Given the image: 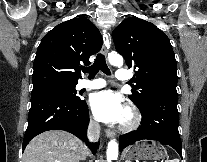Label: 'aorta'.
<instances>
[{"mask_svg":"<svg viewBox=\"0 0 207 162\" xmlns=\"http://www.w3.org/2000/svg\"><path fill=\"white\" fill-rule=\"evenodd\" d=\"M109 62L113 66L121 67L123 65V58L121 55L115 54L110 55ZM118 143L115 139L110 140L107 146V162H112L114 160H117L118 158Z\"/></svg>","mask_w":207,"mask_h":162,"instance_id":"aorta-1","label":"aorta"}]
</instances>
